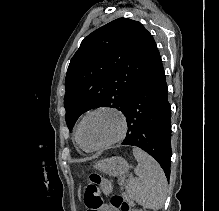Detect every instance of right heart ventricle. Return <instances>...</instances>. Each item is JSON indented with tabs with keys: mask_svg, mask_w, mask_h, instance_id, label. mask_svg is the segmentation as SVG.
I'll list each match as a JSON object with an SVG mask.
<instances>
[{
	"mask_svg": "<svg viewBox=\"0 0 219 211\" xmlns=\"http://www.w3.org/2000/svg\"><path fill=\"white\" fill-rule=\"evenodd\" d=\"M75 139L77 140V135H76V132H75Z\"/></svg>",
	"mask_w": 219,
	"mask_h": 211,
	"instance_id": "1",
	"label": "right heart ventricle"
}]
</instances>
